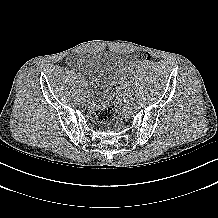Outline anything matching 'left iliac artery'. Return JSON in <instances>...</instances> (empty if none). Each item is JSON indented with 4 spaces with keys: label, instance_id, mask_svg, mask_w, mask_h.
Returning <instances> with one entry per match:
<instances>
[{
    "label": "left iliac artery",
    "instance_id": "left-iliac-artery-1",
    "mask_svg": "<svg viewBox=\"0 0 218 218\" xmlns=\"http://www.w3.org/2000/svg\"><path fill=\"white\" fill-rule=\"evenodd\" d=\"M133 95H135L132 91L128 93L129 97H132Z\"/></svg>",
    "mask_w": 218,
    "mask_h": 218
}]
</instances>
